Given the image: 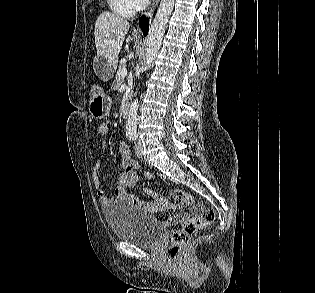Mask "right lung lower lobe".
Masks as SVG:
<instances>
[{
  "label": "right lung lower lobe",
  "mask_w": 315,
  "mask_h": 293,
  "mask_svg": "<svg viewBox=\"0 0 315 293\" xmlns=\"http://www.w3.org/2000/svg\"><path fill=\"white\" fill-rule=\"evenodd\" d=\"M139 24L144 33V36H146L148 32V27H149L148 18L141 17Z\"/></svg>",
  "instance_id": "obj_1"
}]
</instances>
